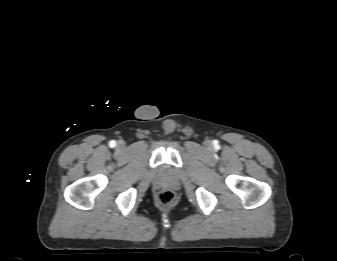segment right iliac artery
<instances>
[{
    "label": "right iliac artery",
    "mask_w": 337,
    "mask_h": 261,
    "mask_svg": "<svg viewBox=\"0 0 337 261\" xmlns=\"http://www.w3.org/2000/svg\"><path fill=\"white\" fill-rule=\"evenodd\" d=\"M109 146L112 147V148L115 147L116 141H114V140L110 141Z\"/></svg>",
    "instance_id": "right-iliac-artery-1"
}]
</instances>
